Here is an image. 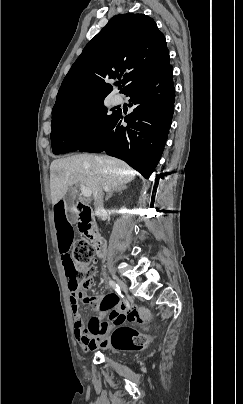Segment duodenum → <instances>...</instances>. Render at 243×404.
<instances>
[{"mask_svg": "<svg viewBox=\"0 0 243 404\" xmlns=\"http://www.w3.org/2000/svg\"><path fill=\"white\" fill-rule=\"evenodd\" d=\"M79 231L93 241L95 252L99 258H104L106 245L103 238L95 231L90 209L82 202L77 203Z\"/></svg>", "mask_w": 243, "mask_h": 404, "instance_id": "410a0bca", "label": "duodenum"}]
</instances>
